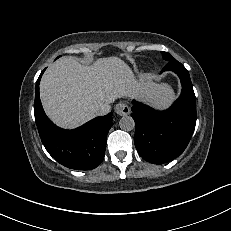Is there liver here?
<instances>
[{
  "label": "liver",
  "instance_id": "liver-1",
  "mask_svg": "<svg viewBox=\"0 0 231 231\" xmlns=\"http://www.w3.org/2000/svg\"><path fill=\"white\" fill-rule=\"evenodd\" d=\"M129 96L158 106L173 97L167 85L134 78L130 67L116 56L97 59L91 66L63 57L48 67L40 83V98L48 117L58 126L76 128L96 115L94 109L110 106Z\"/></svg>",
  "mask_w": 231,
  "mask_h": 231
}]
</instances>
